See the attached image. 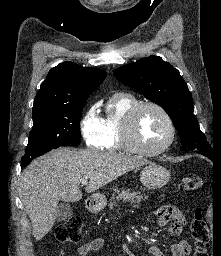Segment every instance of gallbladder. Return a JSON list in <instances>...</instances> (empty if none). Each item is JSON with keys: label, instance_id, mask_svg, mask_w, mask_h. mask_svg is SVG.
Here are the masks:
<instances>
[{"label": "gallbladder", "instance_id": "gallbladder-1", "mask_svg": "<svg viewBox=\"0 0 221 256\" xmlns=\"http://www.w3.org/2000/svg\"><path fill=\"white\" fill-rule=\"evenodd\" d=\"M72 215V207L69 203H61L57 206V221H64Z\"/></svg>", "mask_w": 221, "mask_h": 256}]
</instances>
